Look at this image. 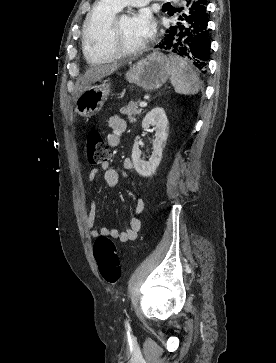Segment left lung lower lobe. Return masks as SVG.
Wrapping results in <instances>:
<instances>
[{
    "label": "left lung lower lobe",
    "instance_id": "1",
    "mask_svg": "<svg viewBox=\"0 0 276 363\" xmlns=\"http://www.w3.org/2000/svg\"><path fill=\"white\" fill-rule=\"evenodd\" d=\"M182 11L156 47L169 50L205 73L210 50L207 0H185L178 10Z\"/></svg>",
    "mask_w": 276,
    "mask_h": 363
}]
</instances>
